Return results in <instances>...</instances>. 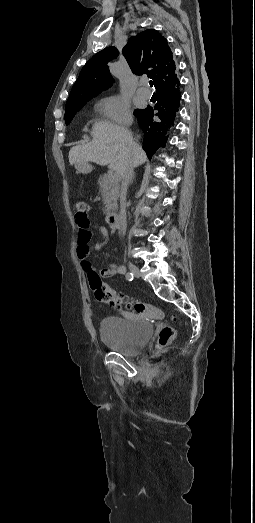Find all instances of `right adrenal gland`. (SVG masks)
<instances>
[{"instance_id":"1","label":"right adrenal gland","mask_w":255,"mask_h":523,"mask_svg":"<svg viewBox=\"0 0 255 523\" xmlns=\"http://www.w3.org/2000/svg\"><path fill=\"white\" fill-rule=\"evenodd\" d=\"M135 176H133L132 180H130V184H132L133 180H134Z\"/></svg>"}]
</instances>
